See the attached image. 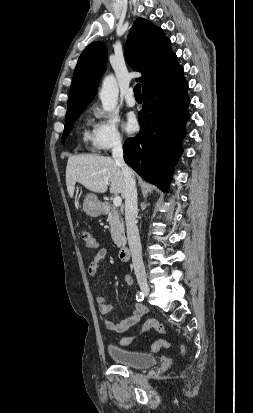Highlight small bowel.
<instances>
[{
    "label": "small bowel",
    "mask_w": 253,
    "mask_h": 413,
    "mask_svg": "<svg viewBox=\"0 0 253 413\" xmlns=\"http://www.w3.org/2000/svg\"><path fill=\"white\" fill-rule=\"evenodd\" d=\"M107 256V250L105 248H101L95 254L93 260L90 262L88 266V274L93 276L95 275L98 270L100 269L102 263L104 262ZM124 281L127 285H131L133 283L132 277L130 275H126L124 277ZM98 302V309L101 314L107 315L115 311L114 305L108 303L102 296L97 297ZM146 307L142 305H137L135 310L133 311L132 315L125 320L114 322L111 320H105L104 325L108 330L123 333L134 326L140 318L146 313Z\"/></svg>",
    "instance_id": "small-bowel-1"
}]
</instances>
